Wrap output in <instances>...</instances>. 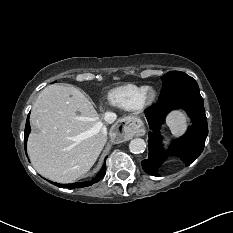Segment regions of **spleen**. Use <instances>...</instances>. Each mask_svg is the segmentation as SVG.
Masks as SVG:
<instances>
[{
	"mask_svg": "<svg viewBox=\"0 0 233 233\" xmlns=\"http://www.w3.org/2000/svg\"><path fill=\"white\" fill-rule=\"evenodd\" d=\"M167 126L170 128L171 133L174 136H180L182 135L186 130V118L185 116L179 112L174 111L172 112L166 120Z\"/></svg>",
	"mask_w": 233,
	"mask_h": 233,
	"instance_id": "1",
	"label": "spleen"
}]
</instances>
